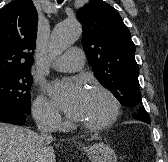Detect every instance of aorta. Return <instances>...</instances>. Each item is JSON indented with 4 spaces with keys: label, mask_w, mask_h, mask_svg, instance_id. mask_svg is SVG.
<instances>
[{
    "label": "aorta",
    "mask_w": 168,
    "mask_h": 162,
    "mask_svg": "<svg viewBox=\"0 0 168 162\" xmlns=\"http://www.w3.org/2000/svg\"><path fill=\"white\" fill-rule=\"evenodd\" d=\"M81 35V27L77 21L62 22L54 28L50 42L49 55L57 56L73 45Z\"/></svg>",
    "instance_id": "762f6f07"
}]
</instances>
